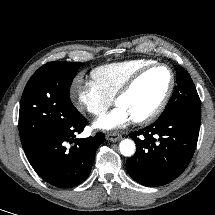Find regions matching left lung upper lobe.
<instances>
[{
    "mask_svg": "<svg viewBox=\"0 0 215 215\" xmlns=\"http://www.w3.org/2000/svg\"><path fill=\"white\" fill-rule=\"evenodd\" d=\"M177 71V86L161 115L173 112H187L201 115V101L189 73L180 66Z\"/></svg>",
    "mask_w": 215,
    "mask_h": 215,
    "instance_id": "obj_1",
    "label": "left lung upper lobe"
}]
</instances>
